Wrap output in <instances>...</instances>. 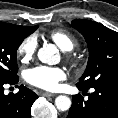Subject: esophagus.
I'll return each mask as SVG.
<instances>
[{
  "label": "esophagus",
  "instance_id": "esophagus-1",
  "mask_svg": "<svg viewBox=\"0 0 118 118\" xmlns=\"http://www.w3.org/2000/svg\"><path fill=\"white\" fill-rule=\"evenodd\" d=\"M39 95L40 96H44V97H54L55 96V94L49 93V92H45V91L39 92Z\"/></svg>",
  "mask_w": 118,
  "mask_h": 118
}]
</instances>
